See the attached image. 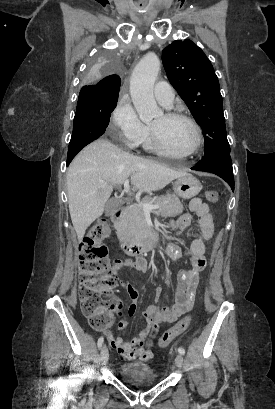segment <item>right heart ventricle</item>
<instances>
[{
    "mask_svg": "<svg viewBox=\"0 0 275 409\" xmlns=\"http://www.w3.org/2000/svg\"><path fill=\"white\" fill-rule=\"evenodd\" d=\"M142 144H143V147H144V149L146 151L155 152V149H154L153 144H152L150 128H148V127H147V133L145 135V138H144Z\"/></svg>",
    "mask_w": 275,
    "mask_h": 409,
    "instance_id": "1",
    "label": "right heart ventricle"
}]
</instances>
